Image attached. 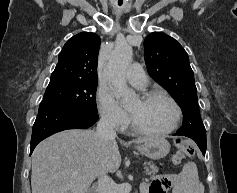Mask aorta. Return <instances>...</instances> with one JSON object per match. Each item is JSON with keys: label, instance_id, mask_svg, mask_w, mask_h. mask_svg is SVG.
Returning a JSON list of instances; mask_svg holds the SVG:
<instances>
[{"label": "aorta", "instance_id": "762f6f07", "mask_svg": "<svg viewBox=\"0 0 237 193\" xmlns=\"http://www.w3.org/2000/svg\"><path fill=\"white\" fill-rule=\"evenodd\" d=\"M132 61V48L124 43L117 44L112 51L107 74L112 82L115 93L125 102H131L135 93L128 87L125 79V71Z\"/></svg>", "mask_w": 237, "mask_h": 193}]
</instances>
